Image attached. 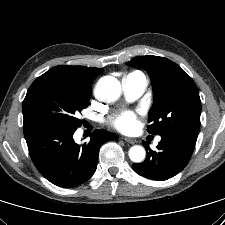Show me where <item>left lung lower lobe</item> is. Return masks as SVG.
Wrapping results in <instances>:
<instances>
[{
  "label": "left lung lower lobe",
  "instance_id": "left-lung-lower-lobe-1",
  "mask_svg": "<svg viewBox=\"0 0 225 225\" xmlns=\"http://www.w3.org/2000/svg\"><path fill=\"white\" fill-rule=\"evenodd\" d=\"M161 141L157 146V151L149 148L144 142L147 157L143 163L133 164V170L148 179L164 181L180 171L188 164L196 140L173 133H163L160 135Z\"/></svg>",
  "mask_w": 225,
  "mask_h": 225
}]
</instances>
